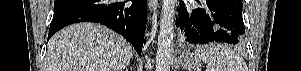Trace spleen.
I'll use <instances>...</instances> for the list:
<instances>
[{
  "label": "spleen",
  "mask_w": 301,
  "mask_h": 71,
  "mask_svg": "<svg viewBox=\"0 0 301 71\" xmlns=\"http://www.w3.org/2000/svg\"><path fill=\"white\" fill-rule=\"evenodd\" d=\"M194 54L206 63V71H248L242 56L223 44L200 46Z\"/></svg>",
  "instance_id": "spleen-1"
}]
</instances>
